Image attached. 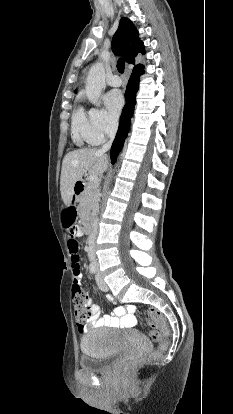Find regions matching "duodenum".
I'll return each instance as SVG.
<instances>
[{
	"mask_svg": "<svg viewBox=\"0 0 233 414\" xmlns=\"http://www.w3.org/2000/svg\"><path fill=\"white\" fill-rule=\"evenodd\" d=\"M84 189H85L84 182L82 180H77L73 184V194H74V196H77V195L81 194L84 191ZM66 209L67 210H70L71 209V206L70 205H67L66 206ZM82 228H83V231L84 232L90 233L91 230L93 229V224H92L91 219L84 220L83 225H82Z\"/></svg>",
	"mask_w": 233,
	"mask_h": 414,
	"instance_id": "410a0bca",
	"label": "duodenum"
}]
</instances>
